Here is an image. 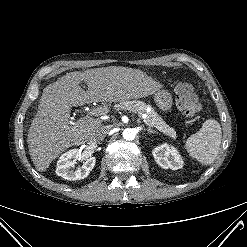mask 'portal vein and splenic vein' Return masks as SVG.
I'll list each match as a JSON object with an SVG mask.
<instances>
[{
    "instance_id": "obj_1",
    "label": "portal vein and splenic vein",
    "mask_w": 247,
    "mask_h": 247,
    "mask_svg": "<svg viewBox=\"0 0 247 247\" xmlns=\"http://www.w3.org/2000/svg\"><path fill=\"white\" fill-rule=\"evenodd\" d=\"M129 111L132 112V113H136V112L131 111V110H129ZM107 112H108V110H107L106 108L97 107V108L91 110V111L89 112V114H90L91 116H100V115H103V114H105V113H107ZM143 116L145 117V115H143Z\"/></svg>"
}]
</instances>
